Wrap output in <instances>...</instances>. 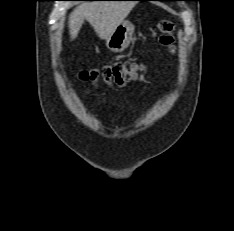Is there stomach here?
<instances>
[{
	"instance_id": "stomach-1",
	"label": "stomach",
	"mask_w": 234,
	"mask_h": 231,
	"mask_svg": "<svg viewBox=\"0 0 234 231\" xmlns=\"http://www.w3.org/2000/svg\"><path fill=\"white\" fill-rule=\"evenodd\" d=\"M133 34V24L129 21H123L106 39V46L113 52H122L129 46Z\"/></svg>"
}]
</instances>
